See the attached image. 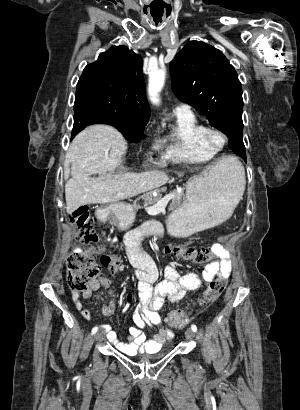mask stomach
Masks as SVG:
<instances>
[{"label":"stomach","mask_w":300,"mask_h":410,"mask_svg":"<svg viewBox=\"0 0 300 410\" xmlns=\"http://www.w3.org/2000/svg\"><path fill=\"white\" fill-rule=\"evenodd\" d=\"M234 179L232 169H224L217 164L206 173L192 177L187 182L183 204L169 216V232L174 236L187 237L225 222L239 200ZM99 214L111 218L121 230L129 228L135 218L133 207L126 203L111 204L101 209Z\"/></svg>","instance_id":"stomach-1"}]
</instances>
